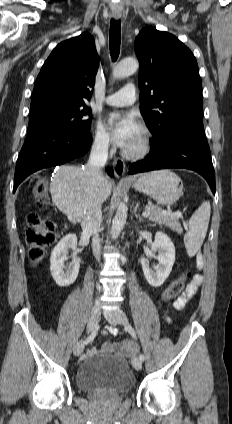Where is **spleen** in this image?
Segmentation results:
<instances>
[{"mask_svg": "<svg viewBox=\"0 0 232 424\" xmlns=\"http://www.w3.org/2000/svg\"><path fill=\"white\" fill-rule=\"evenodd\" d=\"M210 210L209 201H204L189 220V231L184 235V244L189 257H193L201 248L208 229Z\"/></svg>", "mask_w": 232, "mask_h": 424, "instance_id": "obj_1", "label": "spleen"}]
</instances>
